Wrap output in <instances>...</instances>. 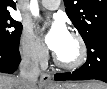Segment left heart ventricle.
Instances as JSON below:
<instances>
[{"label": "left heart ventricle", "mask_w": 107, "mask_h": 89, "mask_svg": "<svg viewBox=\"0 0 107 89\" xmlns=\"http://www.w3.org/2000/svg\"><path fill=\"white\" fill-rule=\"evenodd\" d=\"M56 55L65 62H72L77 58L78 46L71 36H69L63 47L56 53Z\"/></svg>", "instance_id": "1"}]
</instances>
